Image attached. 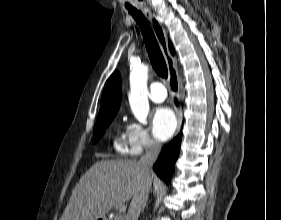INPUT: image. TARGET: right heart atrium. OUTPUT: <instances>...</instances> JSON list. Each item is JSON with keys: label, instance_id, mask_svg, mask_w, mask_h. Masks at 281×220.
<instances>
[{"label": "right heart atrium", "instance_id": "d8ad5b80", "mask_svg": "<svg viewBox=\"0 0 281 220\" xmlns=\"http://www.w3.org/2000/svg\"><path fill=\"white\" fill-rule=\"evenodd\" d=\"M126 134L128 143L134 153L156 149L159 146L149 130L139 123H131L127 127Z\"/></svg>", "mask_w": 281, "mask_h": 220}]
</instances>
